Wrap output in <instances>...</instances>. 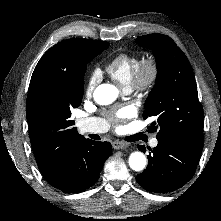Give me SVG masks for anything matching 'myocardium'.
Segmentation results:
<instances>
[{"mask_svg": "<svg viewBox=\"0 0 221 221\" xmlns=\"http://www.w3.org/2000/svg\"><path fill=\"white\" fill-rule=\"evenodd\" d=\"M160 78V65L155 57H148L140 62L135 72L130 89L139 95H147L156 87Z\"/></svg>", "mask_w": 221, "mask_h": 221, "instance_id": "obj_1", "label": "myocardium"}]
</instances>
